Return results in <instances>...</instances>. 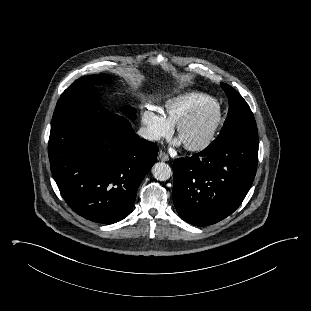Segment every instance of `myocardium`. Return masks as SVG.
<instances>
[{
  "instance_id": "obj_1",
  "label": "myocardium",
  "mask_w": 311,
  "mask_h": 311,
  "mask_svg": "<svg viewBox=\"0 0 311 311\" xmlns=\"http://www.w3.org/2000/svg\"><path fill=\"white\" fill-rule=\"evenodd\" d=\"M209 109L213 110V121L211 123V126L209 128L207 135L204 137L203 140H201L198 143H194V144L183 143L184 147L187 150L193 151V152H199V151L206 149L207 147L211 145L222 123L223 113H222L221 106L216 100H211L209 102H206L198 106L194 110H192L190 113H188L176 125V133H177V136L180 137L181 133L188 125H190L201 114H203Z\"/></svg>"
}]
</instances>
